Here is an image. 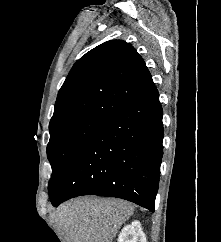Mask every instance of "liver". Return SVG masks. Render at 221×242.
Here are the masks:
<instances>
[{
    "label": "liver",
    "instance_id": "obj_1",
    "mask_svg": "<svg viewBox=\"0 0 221 242\" xmlns=\"http://www.w3.org/2000/svg\"><path fill=\"white\" fill-rule=\"evenodd\" d=\"M133 210L123 200L78 198L57 209L55 222L66 242H112Z\"/></svg>",
    "mask_w": 221,
    "mask_h": 242
}]
</instances>
